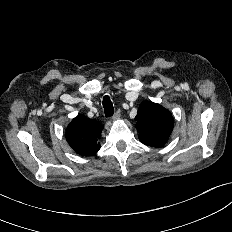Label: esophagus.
<instances>
[{"instance_id":"esophagus-1","label":"esophagus","mask_w":232,"mask_h":232,"mask_svg":"<svg viewBox=\"0 0 232 232\" xmlns=\"http://www.w3.org/2000/svg\"><path fill=\"white\" fill-rule=\"evenodd\" d=\"M120 116H121V112H120V110H117V111L114 113V115L112 116V119H113V120H117V119L120 118Z\"/></svg>"}]
</instances>
